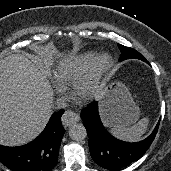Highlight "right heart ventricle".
<instances>
[{
    "instance_id": "right-heart-ventricle-1",
    "label": "right heart ventricle",
    "mask_w": 171,
    "mask_h": 171,
    "mask_svg": "<svg viewBox=\"0 0 171 171\" xmlns=\"http://www.w3.org/2000/svg\"><path fill=\"white\" fill-rule=\"evenodd\" d=\"M94 57V53L88 52L58 62L54 69V78L58 86L65 88L71 85L90 66Z\"/></svg>"
}]
</instances>
